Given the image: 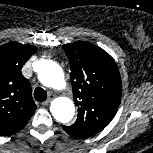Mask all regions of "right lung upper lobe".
<instances>
[{"mask_svg": "<svg viewBox=\"0 0 153 153\" xmlns=\"http://www.w3.org/2000/svg\"><path fill=\"white\" fill-rule=\"evenodd\" d=\"M37 50L17 42L0 46V136L23 129L36 110L31 85L21 68Z\"/></svg>", "mask_w": 153, "mask_h": 153, "instance_id": "1", "label": "right lung upper lobe"}]
</instances>
